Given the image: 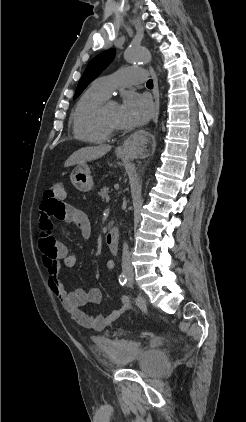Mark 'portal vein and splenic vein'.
Wrapping results in <instances>:
<instances>
[{
  "label": "portal vein and splenic vein",
  "mask_w": 246,
  "mask_h": 422,
  "mask_svg": "<svg viewBox=\"0 0 246 422\" xmlns=\"http://www.w3.org/2000/svg\"><path fill=\"white\" fill-rule=\"evenodd\" d=\"M109 200H110V197H109V196H107V197H106V202H109Z\"/></svg>",
  "instance_id": "1"
}]
</instances>
